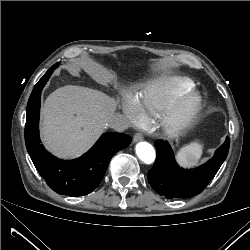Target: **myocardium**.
Listing matches in <instances>:
<instances>
[{
    "label": "myocardium",
    "instance_id": "1",
    "mask_svg": "<svg viewBox=\"0 0 250 250\" xmlns=\"http://www.w3.org/2000/svg\"><path fill=\"white\" fill-rule=\"evenodd\" d=\"M204 106L201 93L194 87L183 92L174 104L163 113L161 129L167 135H176L192 126Z\"/></svg>",
    "mask_w": 250,
    "mask_h": 250
}]
</instances>
